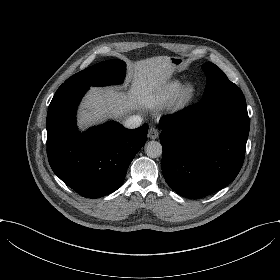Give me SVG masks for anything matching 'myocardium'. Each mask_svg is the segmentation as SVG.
Masks as SVG:
<instances>
[{
  "mask_svg": "<svg viewBox=\"0 0 280 280\" xmlns=\"http://www.w3.org/2000/svg\"><path fill=\"white\" fill-rule=\"evenodd\" d=\"M191 85L194 86L193 92H189V87ZM199 93H200V88L196 81L194 80L186 81L182 85L175 99L173 100L172 109L181 110L188 107L198 98Z\"/></svg>",
  "mask_w": 280,
  "mask_h": 280,
  "instance_id": "f54148a6",
  "label": "myocardium"
}]
</instances>
